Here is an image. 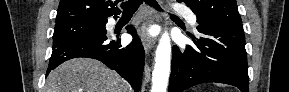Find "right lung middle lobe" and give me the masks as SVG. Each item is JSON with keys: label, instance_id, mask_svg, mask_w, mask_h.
I'll return each mask as SVG.
<instances>
[{"label": "right lung middle lobe", "instance_id": "obj_1", "mask_svg": "<svg viewBox=\"0 0 289 92\" xmlns=\"http://www.w3.org/2000/svg\"><path fill=\"white\" fill-rule=\"evenodd\" d=\"M107 21L74 20L56 23L53 34V47L64 43L84 39L96 38L107 33Z\"/></svg>", "mask_w": 289, "mask_h": 92}]
</instances>
